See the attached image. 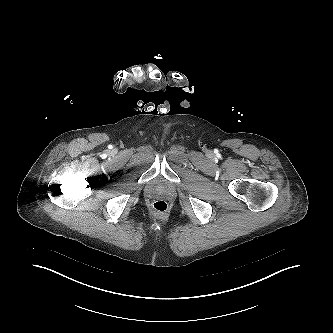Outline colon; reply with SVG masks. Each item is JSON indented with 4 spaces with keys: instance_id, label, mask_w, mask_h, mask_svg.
<instances>
[{
    "instance_id": "5ec220e1",
    "label": "colon",
    "mask_w": 333,
    "mask_h": 333,
    "mask_svg": "<svg viewBox=\"0 0 333 333\" xmlns=\"http://www.w3.org/2000/svg\"><path fill=\"white\" fill-rule=\"evenodd\" d=\"M151 209L158 215H165L169 210V205L165 200L157 199L152 202Z\"/></svg>"
}]
</instances>
